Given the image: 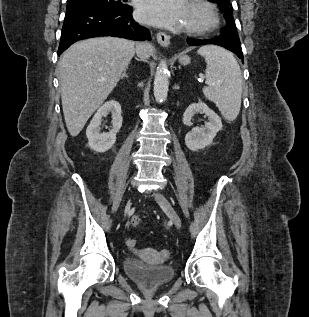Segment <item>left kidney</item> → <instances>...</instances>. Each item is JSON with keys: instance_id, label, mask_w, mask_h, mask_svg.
<instances>
[{"instance_id": "5707ae66", "label": "left kidney", "mask_w": 309, "mask_h": 317, "mask_svg": "<svg viewBox=\"0 0 309 317\" xmlns=\"http://www.w3.org/2000/svg\"><path fill=\"white\" fill-rule=\"evenodd\" d=\"M196 113L205 114L208 122L203 128L194 127L185 136V144L192 151L204 149L213 142L217 132L222 129L221 118L202 101L193 103L183 114V123L188 126L191 124L192 117Z\"/></svg>"}]
</instances>
